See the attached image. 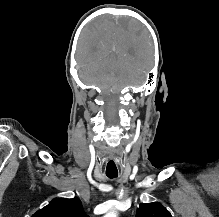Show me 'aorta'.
I'll return each instance as SVG.
<instances>
[{"mask_svg": "<svg viewBox=\"0 0 219 217\" xmlns=\"http://www.w3.org/2000/svg\"><path fill=\"white\" fill-rule=\"evenodd\" d=\"M104 217H118L117 212H110L108 214H106Z\"/></svg>", "mask_w": 219, "mask_h": 217, "instance_id": "obj_1", "label": "aorta"}]
</instances>
